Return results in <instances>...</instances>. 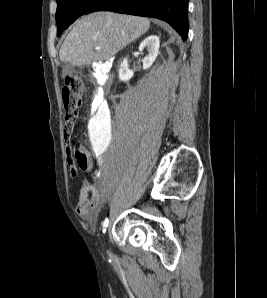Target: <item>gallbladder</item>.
<instances>
[{"label":"gallbladder","instance_id":"1","mask_svg":"<svg viewBox=\"0 0 267 298\" xmlns=\"http://www.w3.org/2000/svg\"><path fill=\"white\" fill-rule=\"evenodd\" d=\"M73 70V66H68V65H66L65 67H64V73L66 74V73H68V72H71Z\"/></svg>","mask_w":267,"mask_h":298}]
</instances>
